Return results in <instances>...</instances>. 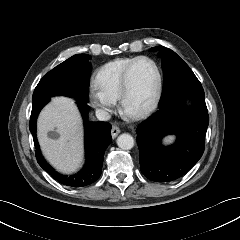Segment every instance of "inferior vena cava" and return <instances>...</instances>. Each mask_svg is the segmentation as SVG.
I'll return each instance as SVG.
<instances>
[{
  "mask_svg": "<svg viewBox=\"0 0 240 240\" xmlns=\"http://www.w3.org/2000/svg\"><path fill=\"white\" fill-rule=\"evenodd\" d=\"M96 117L100 121H108L111 118V115L108 111L104 109H96Z\"/></svg>",
  "mask_w": 240,
  "mask_h": 240,
  "instance_id": "602c4592",
  "label": "inferior vena cava"
}]
</instances>
